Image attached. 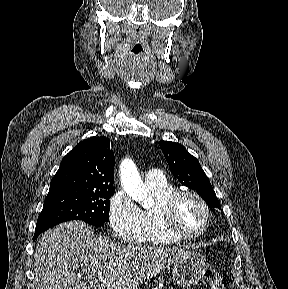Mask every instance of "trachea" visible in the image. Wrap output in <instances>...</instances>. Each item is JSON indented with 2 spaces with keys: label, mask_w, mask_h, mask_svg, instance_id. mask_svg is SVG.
<instances>
[{
  "label": "trachea",
  "mask_w": 288,
  "mask_h": 289,
  "mask_svg": "<svg viewBox=\"0 0 288 289\" xmlns=\"http://www.w3.org/2000/svg\"><path fill=\"white\" fill-rule=\"evenodd\" d=\"M138 53H139V52H137V51H135V50H132V54H133L134 57H135L136 55L138 56Z\"/></svg>",
  "instance_id": "1"
}]
</instances>
